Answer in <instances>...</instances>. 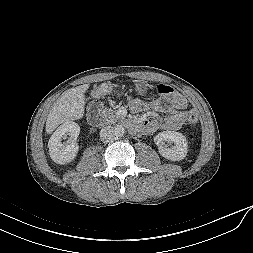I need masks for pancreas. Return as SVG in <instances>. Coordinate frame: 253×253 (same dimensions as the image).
I'll return each instance as SVG.
<instances>
[{
  "label": "pancreas",
  "mask_w": 253,
  "mask_h": 253,
  "mask_svg": "<svg viewBox=\"0 0 253 253\" xmlns=\"http://www.w3.org/2000/svg\"><path fill=\"white\" fill-rule=\"evenodd\" d=\"M102 117L104 119L105 124H115L119 119V116L115 114L112 109L105 108L102 111Z\"/></svg>",
  "instance_id": "1"
}]
</instances>
